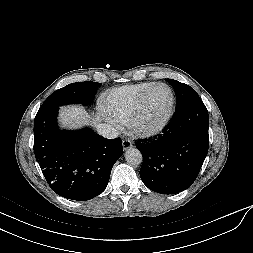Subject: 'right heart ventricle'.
Wrapping results in <instances>:
<instances>
[{
    "mask_svg": "<svg viewBox=\"0 0 253 253\" xmlns=\"http://www.w3.org/2000/svg\"><path fill=\"white\" fill-rule=\"evenodd\" d=\"M153 82L124 85L112 89L105 97L108 113L120 124H127L141 95Z\"/></svg>",
    "mask_w": 253,
    "mask_h": 253,
    "instance_id": "right-heart-ventricle-1",
    "label": "right heart ventricle"
}]
</instances>
